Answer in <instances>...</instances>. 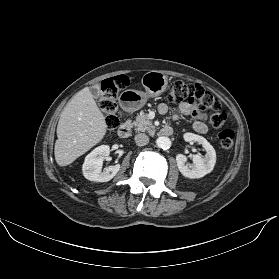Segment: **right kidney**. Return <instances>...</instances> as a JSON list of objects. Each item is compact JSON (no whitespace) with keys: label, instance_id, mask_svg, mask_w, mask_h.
I'll return each instance as SVG.
<instances>
[{"label":"right kidney","instance_id":"ca27d5eb","mask_svg":"<svg viewBox=\"0 0 279 279\" xmlns=\"http://www.w3.org/2000/svg\"><path fill=\"white\" fill-rule=\"evenodd\" d=\"M110 146L101 145L90 152L83 163L82 171L86 179L95 182L110 181L120 170V164L107 167L102 172L104 157L109 155Z\"/></svg>","mask_w":279,"mask_h":279}]
</instances>
